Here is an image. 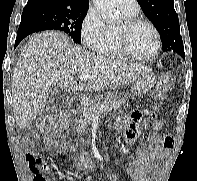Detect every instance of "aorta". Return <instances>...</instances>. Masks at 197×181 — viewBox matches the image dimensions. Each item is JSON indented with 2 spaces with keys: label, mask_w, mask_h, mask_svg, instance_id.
Wrapping results in <instances>:
<instances>
[{
  "label": "aorta",
  "mask_w": 197,
  "mask_h": 181,
  "mask_svg": "<svg viewBox=\"0 0 197 181\" xmlns=\"http://www.w3.org/2000/svg\"><path fill=\"white\" fill-rule=\"evenodd\" d=\"M96 9L109 23H119L121 14L118 10L116 0H93Z\"/></svg>",
  "instance_id": "762f6f07"
}]
</instances>
